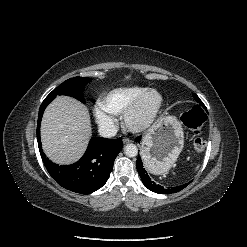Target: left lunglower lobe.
Wrapping results in <instances>:
<instances>
[{
    "instance_id": "obj_1",
    "label": "left lung lower lobe",
    "mask_w": 247,
    "mask_h": 247,
    "mask_svg": "<svg viewBox=\"0 0 247 247\" xmlns=\"http://www.w3.org/2000/svg\"><path fill=\"white\" fill-rule=\"evenodd\" d=\"M136 167L137 171L141 177V180L143 184L151 191L159 193V194H171L178 192L182 189H184L189 183L181 185V186H176V187H163L156 182H154L146 172L145 168L143 167L141 158L138 156V159L136 161Z\"/></svg>"
}]
</instances>
